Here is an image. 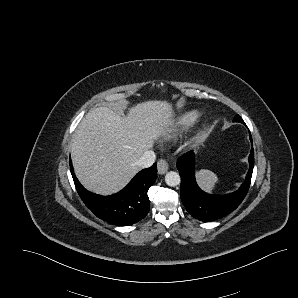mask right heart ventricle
Returning <instances> with one entry per match:
<instances>
[{
  "mask_svg": "<svg viewBox=\"0 0 298 298\" xmlns=\"http://www.w3.org/2000/svg\"><path fill=\"white\" fill-rule=\"evenodd\" d=\"M178 114L180 118V125L176 133L190 129L201 118V113L197 110H184V111L178 112Z\"/></svg>",
  "mask_w": 298,
  "mask_h": 298,
  "instance_id": "right-heart-ventricle-1",
  "label": "right heart ventricle"
}]
</instances>
